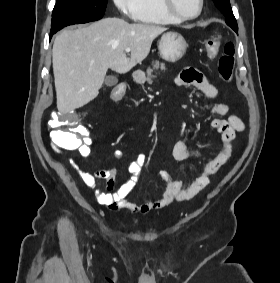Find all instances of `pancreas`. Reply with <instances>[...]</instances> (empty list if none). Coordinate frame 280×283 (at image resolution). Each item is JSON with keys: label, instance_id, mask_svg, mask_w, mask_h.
<instances>
[{"label": "pancreas", "instance_id": "obj_1", "mask_svg": "<svg viewBox=\"0 0 280 283\" xmlns=\"http://www.w3.org/2000/svg\"><path fill=\"white\" fill-rule=\"evenodd\" d=\"M159 69L165 70L166 69L165 64L160 63L159 61L152 62L151 67H148L147 69V83L149 84L153 83V79L155 78L154 73H157Z\"/></svg>", "mask_w": 280, "mask_h": 283}]
</instances>
